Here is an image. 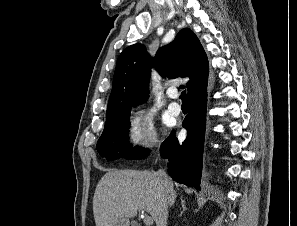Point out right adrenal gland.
<instances>
[{"instance_id": "2a0ac1e0", "label": "right adrenal gland", "mask_w": 297, "mask_h": 226, "mask_svg": "<svg viewBox=\"0 0 297 226\" xmlns=\"http://www.w3.org/2000/svg\"><path fill=\"white\" fill-rule=\"evenodd\" d=\"M181 207H182V209L180 211V215L179 216H181L184 213V211L187 210V208L185 206V200L183 199V197H181Z\"/></svg>"}]
</instances>
